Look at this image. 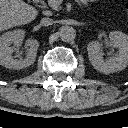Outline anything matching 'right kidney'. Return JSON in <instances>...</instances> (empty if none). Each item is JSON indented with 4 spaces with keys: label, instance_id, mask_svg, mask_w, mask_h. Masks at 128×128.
Segmentation results:
<instances>
[{
    "label": "right kidney",
    "instance_id": "obj_1",
    "mask_svg": "<svg viewBox=\"0 0 128 128\" xmlns=\"http://www.w3.org/2000/svg\"><path fill=\"white\" fill-rule=\"evenodd\" d=\"M25 37V31L17 29L8 31L0 36V65L9 69H22L34 63L39 43L35 39L27 40L26 57L24 59H13L12 54L21 44ZM13 44V46H11Z\"/></svg>",
    "mask_w": 128,
    "mask_h": 128
}]
</instances>
